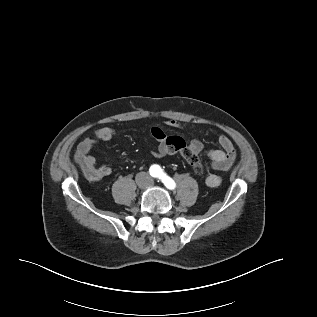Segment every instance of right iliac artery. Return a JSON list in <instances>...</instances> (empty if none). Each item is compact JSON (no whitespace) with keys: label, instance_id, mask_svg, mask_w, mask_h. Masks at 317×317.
<instances>
[{"label":"right iliac artery","instance_id":"obj_1","mask_svg":"<svg viewBox=\"0 0 317 317\" xmlns=\"http://www.w3.org/2000/svg\"><path fill=\"white\" fill-rule=\"evenodd\" d=\"M150 174H151L153 177H157V169H156V168L152 169V171H150Z\"/></svg>","mask_w":317,"mask_h":317}]
</instances>
